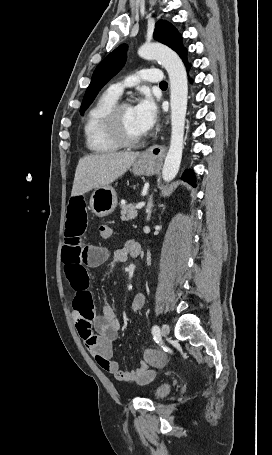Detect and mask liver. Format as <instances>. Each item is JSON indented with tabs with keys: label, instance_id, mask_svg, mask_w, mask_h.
Masks as SVG:
<instances>
[{
	"label": "liver",
	"instance_id": "6515ba94",
	"mask_svg": "<svg viewBox=\"0 0 272 455\" xmlns=\"http://www.w3.org/2000/svg\"><path fill=\"white\" fill-rule=\"evenodd\" d=\"M140 155L139 152H118L88 155L78 162L71 196L110 185L122 176Z\"/></svg>",
	"mask_w": 272,
	"mask_h": 455
}]
</instances>
